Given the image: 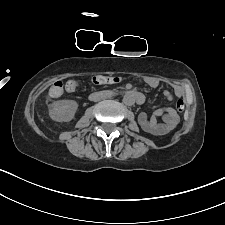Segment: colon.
Returning a JSON list of instances; mask_svg holds the SVG:
<instances>
[{"instance_id":"1","label":"colon","mask_w":225,"mask_h":225,"mask_svg":"<svg viewBox=\"0 0 225 225\" xmlns=\"http://www.w3.org/2000/svg\"><path fill=\"white\" fill-rule=\"evenodd\" d=\"M121 80H122L121 77L106 76V75H96L92 78V82L96 85L115 84V83H119ZM64 88L67 92L73 93L78 90L79 83L75 80H69L64 86L62 82H56L49 89V94L53 98H58L62 95ZM176 108L178 111L182 112L185 109L184 100L179 99L176 103Z\"/></svg>"}]
</instances>
